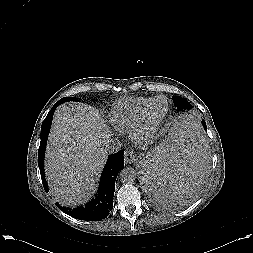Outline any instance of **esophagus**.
Listing matches in <instances>:
<instances>
[{
    "instance_id": "34e87169",
    "label": "esophagus",
    "mask_w": 253,
    "mask_h": 253,
    "mask_svg": "<svg viewBox=\"0 0 253 253\" xmlns=\"http://www.w3.org/2000/svg\"><path fill=\"white\" fill-rule=\"evenodd\" d=\"M126 164H132L136 161V155L132 150H127L124 155Z\"/></svg>"
}]
</instances>
